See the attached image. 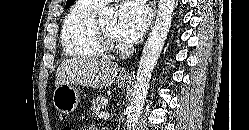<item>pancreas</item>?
I'll use <instances>...</instances> for the list:
<instances>
[{
	"mask_svg": "<svg viewBox=\"0 0 249 130\" xmlns=\"http://www.w3.org/2000/svg\"><path fill=\"white\" fill-rule=\"evenodd\" d=\"M106 107L105 98L103 96H97L92 100L91 110L92 115L95 118L100 117V111Z\"/></svg>",
	"mask_w": 249,
	"mask_h": 130,
	"instance_id": "obj_1",
	"label": "pancreas"
}]
</instances>
